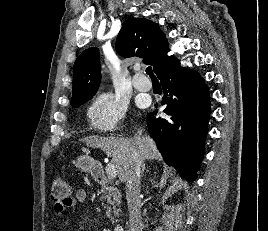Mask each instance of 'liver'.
Instances as JSON below:
<instances>
[{"label": "liver", "instance_id": "1", "mask_svg": "<svg viewBox=\"0 0 268 231\" xmlns=\"http://www.w3.org/2000/svg\"><path fill=\"white\" fill-rule=\"evenodd\" d=\"M82 141L85 142L87 146L99 148L106 154L112 156L118 177L121 181H124L125 172L130 166L133 150L139 153L142 160L160 158L154 141L149 135H143V130H138L132 138L89 136L82 139ZM84 152L89 153L86 149H84Z\"/></svg>", "mask_w": 268, "mask_h": 231}]
</instances>
